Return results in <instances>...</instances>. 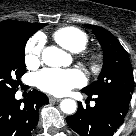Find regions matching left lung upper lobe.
Masks as SVG:
<instances>
[{"label":"left lung upper lobe","instance_id":"5c2ea615","mask_svg":"<svg viewBox=\"0 0 136 136\" xmlns=\"http://www.w3.org/2000/svg\"><path fill=\"white\" fill-rule=\"evenodd\" d=\"M88 27L93 29L102 46L104 64L98 80L84 88L83 91L89 94L105 92L133 93V71L126 50L108 30L92 25Z\"/></svg>","mask_w":136,"mask_h":136}]
</instances>
